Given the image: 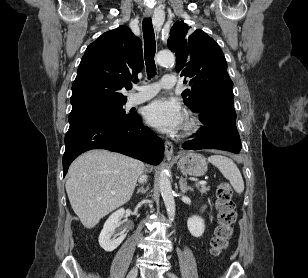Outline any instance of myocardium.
I'll use <instances>...</instances> for the list:
<instances>
[{
	"instance_id": "obj_1",
	"label": "myocardium",
	"mask_w": 308,
	"mask_h": 278,
	"mask_svg": "<svg viewBox=\"0 0 308 278\" xmlns=\"http://www.w3.org/2000/svg\"><path fill=\"white\" fill-rule=\"evenodd\" d=\"M199 127H200V121L197 118V116H195L192 113H189L186 117L185 124L183 127L184 133L186 134L193 133L197 131Z\"/></svg>"
}]
</instances>
